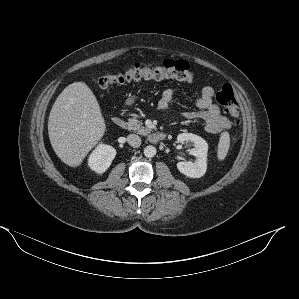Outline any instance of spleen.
Here are the masks:
<instances>
[{
    "instance_id": "1",
    "label": "spleen",
    "mask_w": 299,
    "mask_h": 299,
    "mask_svg": "<svg viewBox=\"0 0 299 299\" xmlns=\"http://www.w3.org/2000/svg\"><path fill=\"white\" fill-rule=\"evenodd\" d=\"M230 146V137L228 132H223L220 135L218 148H217V157L218 160L222 161L225 159Z\"/></svg>"
}]
</instances>
